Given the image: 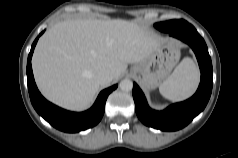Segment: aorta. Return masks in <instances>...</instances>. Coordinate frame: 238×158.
Wrapping results in <instances>:
<instances>
[{
  "instance_id": "aorta-1",
  "label": "aorta",
  "mask_w": 238,
  "mask_h": 158,
  "mask_svg": "<svg viewBox=\"0 0 238 158\" xmlns=\"http://www.w3.org/2000/svg\"><path fill=\"white\" fill-rule=\"evenodd\" d=\"M119 86L122 91L128 92L132 90L133 82L130 79H123Z\"/></svg>"
}]
</instances>
